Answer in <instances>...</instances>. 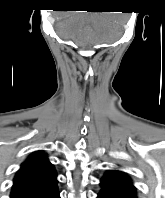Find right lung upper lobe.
<instances>
[{
	"mask_svg": "<svg viewBox=\"0 0 165 198\" xmlns=\"http://www.w3.org/2000/svg\"><path fill=\"white\" fill-rule=\"evenodd\" d=\"M57 187V174L42 151L32 153L17 172L10 198H40Z\"/></svg>",
	"mask_w": 165,
	"mask_h": 198,
	"instance_id": "cb5924a9",
	"label": "right lung upper lobe"
}]
</instances>
